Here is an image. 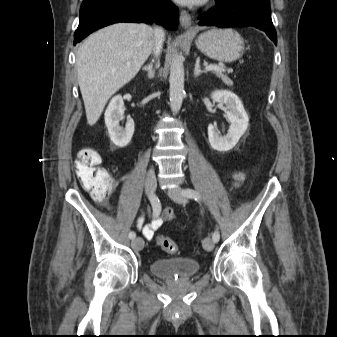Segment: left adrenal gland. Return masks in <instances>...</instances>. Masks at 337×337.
I'll return each mask as SVG.
<instances>
[{"mask_svg":"<svg viewBox=\"0 0 337 337\" xmlns=\"http://www.w3.org/2000/svg\"><path fill=\"white\" fill-rule=\"evenodd\" d=\"M203 73H207V72L200 69V60L197 59L195 68H194V77H198L199 75Z\"/></svg>","mask_w":337,"mask_h":337,"instance_id":"left-adrenal-gland-1","label":"left adrenal gland"}]
</instances>
